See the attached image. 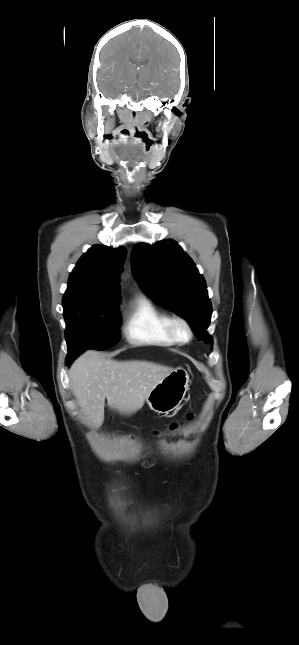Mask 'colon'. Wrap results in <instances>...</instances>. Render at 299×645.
Listing matches in <instances>:
<instances>
[{
    "mask_svg": "<svg viewBox=\"0 0 299 645\" xmlns=\"http://www.w3.org/2000/svg\"><path fill=\"white\" fill-rule=\"evenodd\" d=\"M191 419H192V415H191V414H189V415L187 416V420H191ZM180 425H181V423L175 422V423H173V424L171 425V429H177Z\"/></svg>",
    "mask_w": 299,
    "mask_h": 645,
    "instance_id": "1",
    "label": "colon"
}]
</instances>
